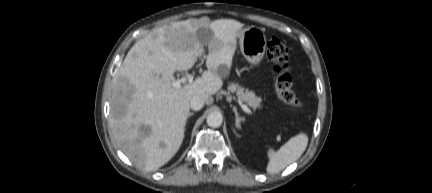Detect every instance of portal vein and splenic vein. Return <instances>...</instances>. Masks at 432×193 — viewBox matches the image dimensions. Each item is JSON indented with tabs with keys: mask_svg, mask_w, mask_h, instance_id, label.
<instances>
[{
	"mask_svg": "<svg viewBox=\"0 0 432 193\" xmlns=\"http://www.w3.org/2000/svg\"><path fill=\"white\" fill-rule=\"evenodd\" d=\"M199 53H200V55L203 53V50L201 49L200 51H199ZM189 82V83H192L193 82V76L192 75H189L185 80H175V79H173L172 81H171V85L174 87V88H177V89H179V88H181L182 87V83H184V82ZM241 108L246 112V113H248V114H252V112H251V110L246 106V105H244V104H241Z\"/></svg>",
	"mask_w": 432,
	"mask_h": 193,
	"instance_id": "18ae733b",
	"label": "portal vein and splenic vein"
}]
</instances>
